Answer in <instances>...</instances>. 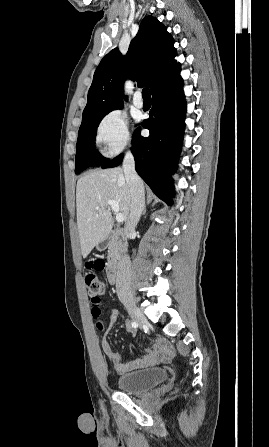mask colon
<instances>
[{
    "label": "colon",
    "instance_id": "1",
    "mask_svg": "<svg viewBox=\"0 0 269 447\" xmlns=\"http://www.w3.org/2000/svg\"><path fill=\"white\" fill-rule=\"evenodd\" d=\"M105 268V263L102 257H91L90 262H87L84 267V283L87 295L91 297L92 310L98 312L100 310V296L106 293L105 282L97 276L98 271ZM94 318L98 317L97 313L93 314ZM97 330L102 331L105 328L104 323L99 322L96 325Z\"/></svg>",
    "mask_w": 269,
    "mask_h": 447
}]
</instances>
